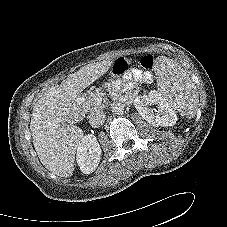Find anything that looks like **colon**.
I'll use <instances>...</instances> for the list:
<instances>
[{
    "mask_svg": "<svg viewBox=\"0 0 227 227\" xmlns=\"http://www.w3.org/2000/svg\"><path fill=\"white\" fill-rule=\"evenodd\" d=\"M140 65L145 71L150 72L154 69L155 59L151 55L143 56L140 59ZM130 67V61L125 58H120L114 63L112 73L114 76H118L128 71Z\"/></svg>",
    "mask_w": 227,
    "mask_h": 227,
    "instance_id": "colon-1",
    "label": "colon"
}]
</instances>
